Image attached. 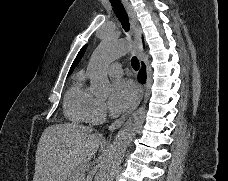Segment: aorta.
I'll list each match as a JSON object with an SVG mask.
<instances>
[{
  "instance_id": "1",
  "label": "aorta",
  "mask_w": 228,
  "mask_h": 181,
  "mask_svg": "<svg viewBox=\"0 0 228 181\" xmlns=\"http://www.w3.org/2000/svg\"><path fill=\"white\" fill-rule=\"evenodd\" d=\"M131 47V44L124 39L115 40L111 37H105L101 41L92 54L87 69V75L90 77L91 90L94 94L99 96H107L109 94L110 82L108 80L106 66L118 57L125 55ZM145 114V107H140L119 130L100 181H113L116 166L121 162L132 139L142 128Z\"/></svg>"
}]
</instances>
